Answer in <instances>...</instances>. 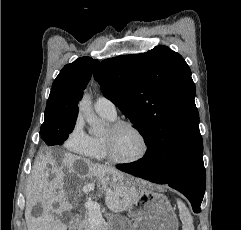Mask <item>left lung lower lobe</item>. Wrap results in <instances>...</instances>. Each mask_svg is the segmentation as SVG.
I'll use <instances>...</instances> for the list:
<instances>
[{
    "mask_svg": "<svg viewBox=\"0 0 241 230\" xmlns=\"http://www.w3.org/2000/svg\"><path fill=\"white\" fill-rule=\"evenodd\" d=\"M119 170L158 184H168L183 193L199 213L206 186L203 154H196L178 168L172 167L170 155L160 143L147 147L145 156L130 164H118Z\"/></svg>",
    "mask_w": 241,
    "mask_h": 230,
    "instance_id": "0a47b994",
    "label": "left lung lower lobe"
}]
</instances>
